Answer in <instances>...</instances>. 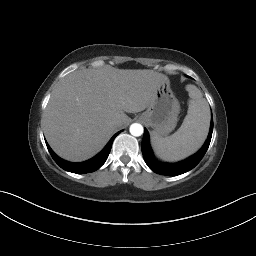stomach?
I'll return each instance as SVG.
<instances>
[{"mask_svg": "<svg viewBox=\"0 0 256 256\" xmlns=\"http://www.w3.org/2000/svg\"><path fill=\"white\" fill-rule=\"evenodd\" d=\"M179 113V101L171 89L169 79L166 78L157 87L152 101L140 118L155 134L163 137L175 128Z\"/></svg>", "mask_w": 256, "mask_h": 256, "instance_id": "0dacf381", "label": "stomach"}]
</instances>
